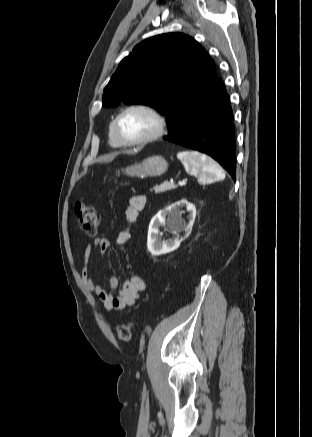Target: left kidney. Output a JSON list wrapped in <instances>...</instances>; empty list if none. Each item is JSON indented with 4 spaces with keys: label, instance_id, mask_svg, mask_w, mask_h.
<instances>
[{
    "label": "left kidney",
    "instance_id": "left-kidney-1",
    "mask_svg": "<svg viewBox=\"0 0 312 437\" xmlns=\"http://www.w3.org/2000/svg\"><path fill=\"white\" fill-rule=\"evenodd\" d=\"M186 205L187 210L190 212L189 222L187 223L182 218L183 211L181 208ZM167 218V227L176 235L170 241L165 242L159 238V228L165 224V218ZM196 217V208L194 204L187 202L186 200H180L168 207L160 210L151 220L148 229L147 248L153 256H159L162 254L170 253L176 250L182 241L179 233H189L192 229L194 220Z\"/></svg>",
    "mask_w": 312,
    "mask_h": 437
}]
</instances>
